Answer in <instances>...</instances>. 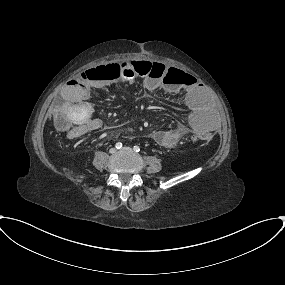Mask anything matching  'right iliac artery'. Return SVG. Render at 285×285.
Wrapping results in <instances>:
<instances>
[{"instance_id":"82829eb1","label":"right iliac artery","mask_w":285,"mask_h":285,"mask_svg":"<svg viewBox=\"0 0 285 285\" xmlns=\"http://www.w3.org/2000/svg\"><path fill=\"white\" fill-rule=\"evenodd\" d=\"M115 147H116L117 149L122 148V143H121V142L116 143V144H115Z\"/></svg>"}]
</instances>
